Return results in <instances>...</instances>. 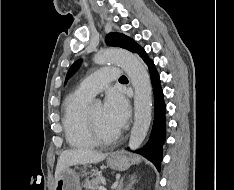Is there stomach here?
Wrapping results in <instances>:
<instances>
[{
    "mask_svg": "<svg viewBox=\"0 0 234 190\" xmlns=\"http://www.w3.org/2000/svg\"><path fill=\"white\" fill-rule=\"evenodd\" d=\"M138 162V157L130 159L124 154L116 153L108 159L107 164L114 170L124 171L131 164ZM84 174H86L85 171ZM54 190H81L80 175L76 173L75 169L65 168L56 178Z\"/></svg>",
    "mask_w": 234,
    "mask_h": 190,
    "instance_id": "stomach-1",
    "label": "stomach"
}]
</instances>
